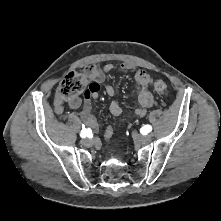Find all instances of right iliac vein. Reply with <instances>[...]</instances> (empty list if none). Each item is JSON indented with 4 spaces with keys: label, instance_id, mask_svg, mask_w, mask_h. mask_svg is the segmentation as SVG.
Returning a JSON list of instances; mask_svg holds the SVG:
<instances>
[{
    "label": "right iliac vein",
    "instance_id": "right-iliac-vein-1",
    "mask_svg": "<svg viewBox=\"0 0 221 221\" xmlns=\"http://www.w3.org/2000/svg\"><path fill=\"white\" fill-rule=\"evenodd\" d=\"M81 143H82L84 146L89 147V146H91V145L93 144V140L86 138V139H83V140L81 141Z\"/></svg>",
    "mask_w": 221,
    "mask_h": 221
}]
</instances>
